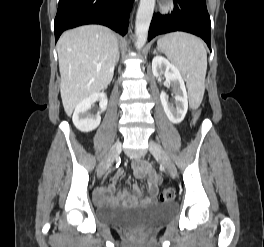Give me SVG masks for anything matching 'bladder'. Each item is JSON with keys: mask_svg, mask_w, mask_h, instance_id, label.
<instances>
[{"mask_svg": "<svg viewBox=\"0 0 264 247\" xmlns=\"http://www.w3.org/2000/svg\"><path fill=\"white\" fill-rule=\"evenodd\" d=\"M170 204L154 203L147 206H103L96 208L101 223L125 229H147L164 223L173 217Z\"/></svg>", "mask_w": 264, "mask_h": 247, "instance_id": "obj_1", "label": "bladder"}]
</instances>
